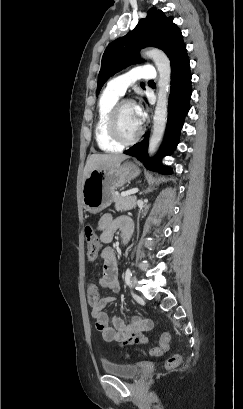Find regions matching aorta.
<instances>
[{"instance_id":"obj_1","label":"aorta","mask_w":243,"mask_h":409,"mask_svg":"<svg viewBox=\"0 0 243 409\" xmlns=\"http://www.w3.org/2000/svg\"><path fill=\"white\" fill-rule=\"evenodd\" d=\"M145 57L151 58L158 70V96L153 116V130L149 139L148 153L152 155L162 140L168 116V98L171 83V65L167 55L156 48L143 52Z\"/></svg>"}]
</instances>
